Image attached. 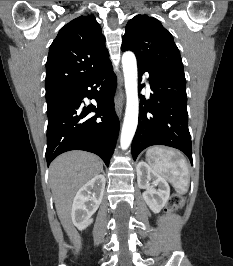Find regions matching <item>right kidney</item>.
<instances>
[{"label": "right kidney", "instance_id": "obj_1", "mask_svg": "<svg viewBox=\"0 0 233 266\" xmlns=\"http://www.w3.org/2000/svg\"><path fill=\"white\" fill-rule=\"evenodd\" d=\"M106 179L97 175L84 184L76 193L71 217L73 224L83 230L92 223V215L97 211L104 194Z\"/></svg>", "mask_w": 233, "mask_h": 266}]
</instances>
